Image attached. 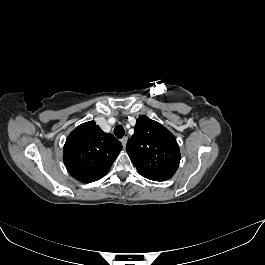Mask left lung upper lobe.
I'll list each match as a JSON object with an SVG mask.
<instances>
[{
	"label": "left lung upper lobe",
	"instance_id": "5c2ea615",
	"mask_svg": "<svg viewBox=\"0 0 265 265\" xmlns=\"http://www.w3.org/2000/svg\"><path fill=\"white\" fill-rule=\"evenodd\" d=\"M126 148L139 174L150 180H168L179 167L181 157L174 135L147 116L138 117Z\"/></svg>",
	"mask_w": 265,
	"mask_h": 265
}]
</instances>
